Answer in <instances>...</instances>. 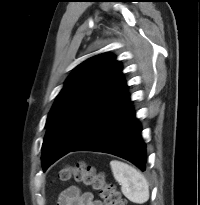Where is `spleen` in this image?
<instances>
[{"instance_id": "3e777b00", "label": "spleen", "mask_w": 200, "mask_h": 205, "mask_svg": "<svg viewBox=\"0 0 200 205\" xmlns=\"http://www.w3.org/2000/svg\"><path fill=\"white\" fill-rule=\"evenodd\" d=\"M110 167L121 191L131 202L143 204L149 199V184L146 178L134 167L112 160Z\"/></svg>"}]
</instances>
